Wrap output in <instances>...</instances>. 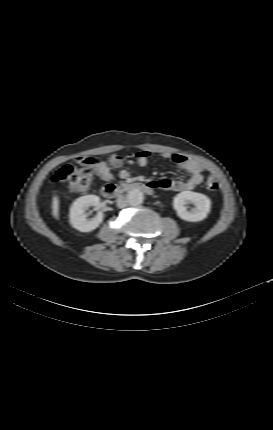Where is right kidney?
Returning a JSON list of instances; mask_svg holds the SVG:
<instances>
[{
	"mask_svg": "<svg viewBox=\"0 0 273 430\" xmlns=\"http://www.w3.org/2000/svg\"><path fill=\"white\" fill-rule=\"evenodd\" d=\"M100 207V198L96 195H86L76 199L70 208V223L81 232H90L96 229L103 221V213L99 211L94 218H87L86 210L91 207Z\"/></svg>",
	"mask_w": 273,
	"mask_h": 430,
	"instance_id": "right-kidney-1",
	"label": "right kidney"
}]
</instances>
